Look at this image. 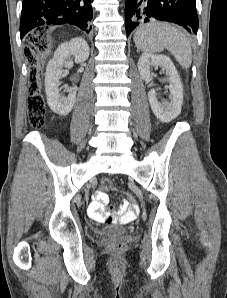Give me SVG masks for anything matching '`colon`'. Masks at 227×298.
I'll use <instances>...</instances> for the list:
<instances>
[{
  "label": "colon",
  "mask_w": 227,
  "mask_h": 298,
  "mask_svg": "<svg viewBox=\"0 0 227 298\" xmlns=\"http://www.w3.org/2000/svg\"><path fill=\"white\" fill-rule=\"evenodd\" d=\"M35 35H29L27 42L24 45L23 52L26 59L33 65L28 82V99L27 108L29 115V123L34 128H41L45 123V104L42 95V72L38 66V58L48 50V42L46 40L36 41ZM100 190H111L112 185L108 180H104L102 185L99 186ZM114 194H118L119 190L114 189ZM135 196H129L124 202L126 206L139 207V202H134ZM109 222H114L112 217L108 218ZM109 250L114 253L122 252L126 249V244L122 242H112L108 246Z\"/></svg>",
  "instance_id": "obj_1"
}]
</instances>
